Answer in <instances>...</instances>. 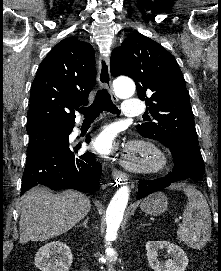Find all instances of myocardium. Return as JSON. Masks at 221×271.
Returning <instances> with one entry per match:
<instances>
[{"mask_svg":"<svg viewBox=\"0 0 221 271\" xmlns=\"http://www.w3.org/2000/svg\"><path fill=\"white\" fill-rule=\"evenodd\" d=\"M146 140V138H143ZM129 145H132L134 155H144V157H128L117 158V163H124L119 165V170L122 172H136L137 170H145L151 172L152 170H164V165H169L164 162L167 158H160L159 154L164 153L166 150H159V145H148L146 142L140 140H129Z\"/></svg>","mask_w":221,"mask_h":271,"instance_id":"myocardium-1","label":"myocardium"}]
</instances>
